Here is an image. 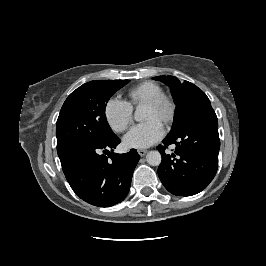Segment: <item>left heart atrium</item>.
Listing matches in <instances>:
<instances>
[{"label": "left heart atrium", "instance_id": "left-heart-atrium-1", "mask_svg": "<svg viewBox=\"0 0 266 266\" xmlns=\"http://www.w3.org/2000/svg\"><path fill=\"white\" fill-rule=\"evenodd\" d=\"M164 135L162 123L158 119H150L133 126L125 135L123 142L128 148H147L159 141Z\"/></svg>", "mask_w": 266, "mask_h": 266}]
</instances>
